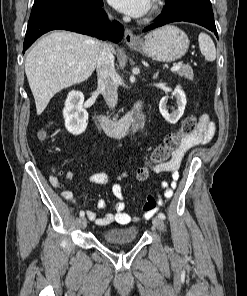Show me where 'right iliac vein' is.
Segmentation results:
<instances>
[{"label":"right iliac vein","mask_w":247,"mask_h":296,"mask_svg":"<svg viewBox=\"0 0 247 296\" xmlns=\"http://www.w3.org/2000/svg\"><path fill=\"white\" fill-rule=\"evenodd\" d=\"M79 223H80L82 228H85L87 226V219L85 217H81L79 219Z\"/></svg>","instance_id":"1"}]
</instances>
